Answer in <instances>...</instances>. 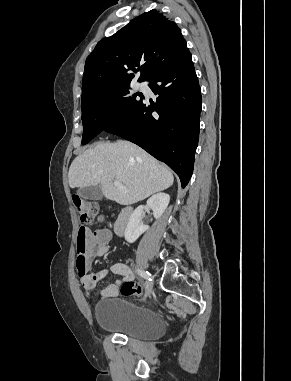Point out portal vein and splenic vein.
<instances>
[{
  "instance_id": "18ae733b",
  "label": "portal vein and splenic vein",
  "mask_w": 291,
  "mask_h": 381,
  "mask_svg": "<svg viewBox=\"0 0 291 381\" xmlns=\"http://www.w3.org/2000/svg\"><path fill=\"white\" fill-rule=\"evenodd\" d=\"M116 187H118L119 189L121 190H126V188L122 185V183L118 180H114V183H113Z\"/></svg>"
}]
</instances>
